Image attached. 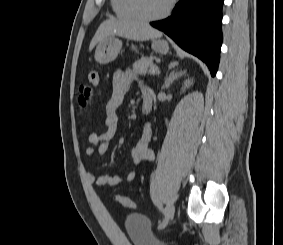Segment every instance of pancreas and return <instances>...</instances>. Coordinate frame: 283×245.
Returning a JSON list of instances; mask_svg holds the SVG:
<instances>
[{
    "label": "pancreas",
    "mask_w": 283,
    "mask_h": 245,
    "mask_svg": "<svg viewBox=\"0 0 283 245\" xmlns=\"http://www.w3.org/2000/svg\"><path fill=\"white\" fill-rule=\"evenodd\" d=\"M154 57H142L133 64V70L137 73L146 74L155 68L153 65Z\"/></svg>",
    "instance_id": "cf45deb5"
}]
</instances>
